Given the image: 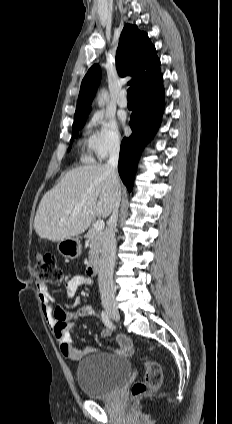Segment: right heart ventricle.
Instances as JSON below:
<instances>
[{
  "mask_svg": "<svg viewBox=\"0 0 232 424\" xmlns=\"http://www.w3.org/2000/svg\"><path fill=\"white\" fill-rule=\"evenodd\" d=\"M90 139L91 135L85 133L79 140L81 147V161L84 163H93L94 158L90 150Z\"/></svg>",
  "mask_w": 232,
  "mask_h": 424,
  "instance_id": "obj_1",
  "label": "right heart ventricle"
}]
</instances>
